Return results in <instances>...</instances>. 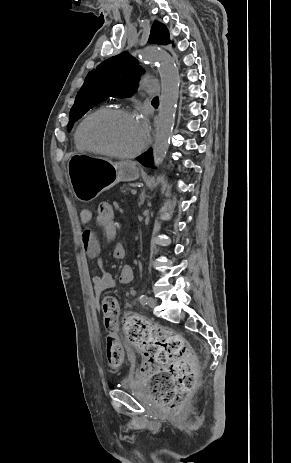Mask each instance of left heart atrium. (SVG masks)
I'll return each mask as SVG.
<instances>
[{
	"instance_id": "obj_1",
	"label": "left heart atrium",
	"mask_w": 291,
	"mask_h": 463,
	"mask_svg": "<svg viewBox=\"0 0 291 463\" xmlns=\"http://www.w3.org/2000/svg\"><path fill=\"white\" fill-rule=\"evenodd\" d=\"M136 122L144 138L147 137L149 131L147 119L143 116H140L136 119Z\"/></svg>"
}]
</instances>
